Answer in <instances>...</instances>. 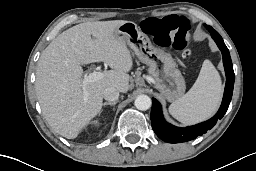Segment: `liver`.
Returning a JSON list of instances; mask_svg holds the SVG:
<instances>
[{
    "label": "liver",
    "instance_id": "obj_1",
    "mask_svg": "<svg viewBox=\"0 0 256 171\" xmlns=\"http://www.w3.org/2000/svg\"><path fill=\"white\" fill-rule=\"evenodd\" d=\"M124 22L78 24L59 34L42 52L36 70L37 98L48 124L61 136L76 138L100 113L107 87L128 91L133 60L126 43L116 35ZM94 62H104L112 70L84 86L81 65Z\"/></svg>",
    "mask_w": 256,
    "mask_h": 171
}]
</instances>
